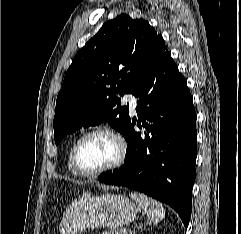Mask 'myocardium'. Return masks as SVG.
<instances>
[{
	"instance_id": "f54148a6",
	"label": "myocardium",
	"mask_w": 241,
	"mask_h": 234,
	"mask_svg": "<svg viewBox=\"0 0 241 234\" xmlns=\"http://www.w3.org/2000/svg\"><path fill=\"white\" fill-rule=\"evenodd\" d=\"M100 133L107 134L116 141V143L118 145V155L112 163H110L109 165H107L105 167H102L95 171H85L80 167L79 161H78V152H79L80 146L89 137L96 135V134H100ZM126 156H127V144H126L124 138L121 136V134L110 127L98 126V127H95L93 129L87 131L86 133H84L75 142L73 149H72V165H73V168L76 171V173L80 176L97 177L101 174H104L106 172L112 171V170L120 167L123 164V162L125 161Z\"/></svg>"
}]
</instances>
